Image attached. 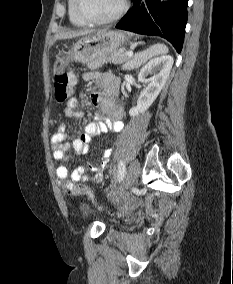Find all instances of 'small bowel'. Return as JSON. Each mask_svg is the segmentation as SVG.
I'll return each mask as SVG.
<instances>
[{"mask_svg": "<svg viewBox=\"0 0 233 284\" xmlns=\"http://www.w3.org/2000/svg\"><path fill=\"white\" fill-rule=\"evenodd\" d=\"M84 79L88 82L95 83L101 90L102 94H92L90 100L95 106H98L105 118L98 121L90 122L86 125L84 133L67 142L66 140V125L60 122L57 130L50 138V145L53 150V157L56 161H66L69 156L67 152L74 149L76 152L85 150L93 137L101 132H121L123 130V123L121 121L122 111L119 106L113 101V96L117 93L119 88V81L112 75L102 74L98 72H89L84 74ZM79 102L76 98L68 101L64 109V115L69 118H80L83 112L78 109ZM111 157V150L107 149L103 156L100 165L94 169L93 174L87 172L85 166H78L71 173L65 164H60L56 169L57 177L63 181L65 189L72 190L77 182H93L99 183L102 180V170L105 168ZM70 175V179H68Z\"/></svg>", "mask_w": 233, "mask_h": 284, "instance_id": "obj_1", "label": "small bowel"}]
</instances>
